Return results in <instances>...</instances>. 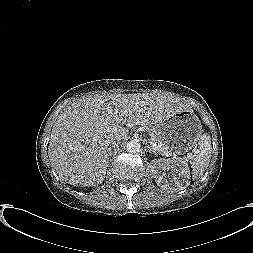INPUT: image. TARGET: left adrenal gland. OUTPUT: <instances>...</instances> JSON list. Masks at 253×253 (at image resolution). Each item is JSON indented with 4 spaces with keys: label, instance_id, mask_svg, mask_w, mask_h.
Segmentation results:
<instances>
[{
    "label": "left adrenal gland",
    "instance_id": "obj_1",
    "mask_svg": "<svg viewBox=\"0 0 253 253\" xmlns=\"http://www.w3.org/2000/svg\"><path fill=\"white\" fill-rule=\"evenodd\" d=\"M148 148H149V151H150L151 153H153L154 155H157L156 150H154V149L152 148V146H148Z\"/></svg>",
    "mask_w": 253,
    "mask_h": 253
}]
</instances>
